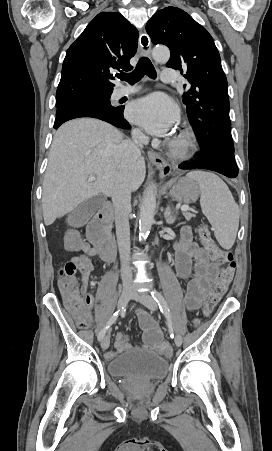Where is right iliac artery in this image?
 <instances>
[{
  "label": "right iliac artery",
  "mask_w": 272,
  "mask_h": 451,
  "mask_svg": "<svg viewBox=\"0 0 272 451\" xmlns=\"http://www.w3.org/2000/svg\"><path fill=\"white\" fill-rule=\"evenodd\" d=\"M125 311H126V309H125L124 307H122L121 310L116 311V312L111 316V318L109 319V321H108L106 327H105L103 330H101V332L99 333V335H98V340H101V339L104 337L105 333L110 329L111 325H112L113 323L116 322V320L118 319L120 313H123V312H125Z\"/></svg>",
  "instance_id": "obj_1"
}]
</instances>
